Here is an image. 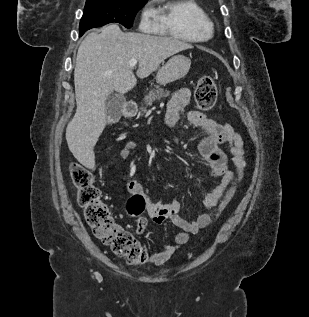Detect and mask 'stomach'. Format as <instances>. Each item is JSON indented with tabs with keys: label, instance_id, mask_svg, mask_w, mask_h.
<instances>
[{
	"label": "stomach",
	"instance_id": "1",
	"mask_svg": "<svg viewBox=\"0 0 309 317\" xmlns=\"http://www.w3.org/2000/svg\"><path fill=\"white\" fill-rule=\"evenodd\" d=\"M191 60L184 55H175L163 65L156 75V81L160 85L177 81L187 75Z\"/></svg>",
	"mask_w": 309,
	"mask_h": 317
}]
</instances>
